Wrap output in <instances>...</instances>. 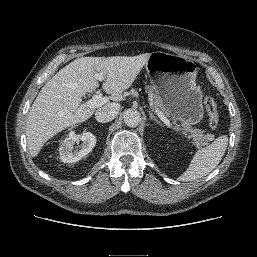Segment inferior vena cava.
I'll return each mask as SVG.
<instances>
[{"label": "inferior vena cava", "instance_id": "1", "mask_svg": "<svg viewBox=\"0 0 257 257\" xmlns=\"http://www.w3.org/2000/svg\"><path fill=\"white\" fill-rule=\"evenodd\" d=\"M120 110V105L112 103L109 106L99 108L95 112V118L98 122L106 123L113 120Z\"/></svg>", "mask_w": 257, "mask_h": 257}]
</instances>
